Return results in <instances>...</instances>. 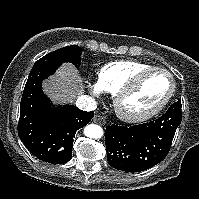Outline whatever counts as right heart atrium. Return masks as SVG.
<instances>
[{
    "label": "right heart atrium",
    "instance_id": "obj_1",
    "mask_svg": "<svg viewBox=\"0 0 199 199\" xmlns=\"http://www.w3.org/2000/svg\"><path fill=\"white\" fill-rule=\"evenodd\" d=\"M88 88H89L90 92L96 97H100L104 92L103 88L98 83V81L89 83Z\"/></svg>",
    "mask_w": 199,
    "mask_h": 199
}]
</instances>
